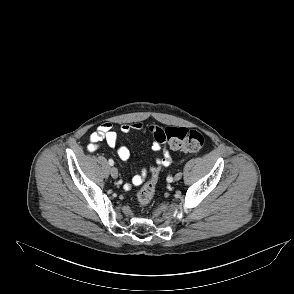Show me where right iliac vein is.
I'll return each mask as SVG.
<instances>
[{
	"mask_svg": "<svg viewBox=\"0 0 294 294\" xmlns=\"http://www.w3.org/2000/svg\"><path fill=\"white\" fill-rule=\"evenodd\" d=\"M110 174L114 179H116L118 177V170L116 168H111Z\"/></svg>",
	"mask_w": 294,
	"mask_h": 294,
	"instance_id": "1",
	"label": "right iliac vein"
}]
</instances>
